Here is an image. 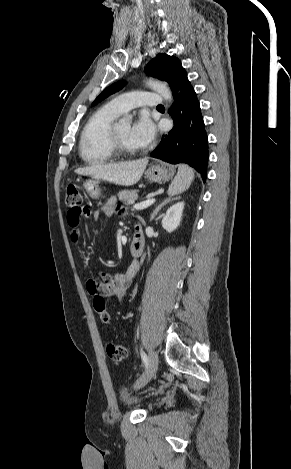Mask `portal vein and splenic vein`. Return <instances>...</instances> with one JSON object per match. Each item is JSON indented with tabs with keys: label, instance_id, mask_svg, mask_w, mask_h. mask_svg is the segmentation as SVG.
Masks as SVG:
<instances>
[{
	"label": "portal vein and splenic vein",
	"instance_id": "portal-vein-and-splenic-vein-1",
	"mask_svg": "<svg viewBox=\"0 0 291 469\" xmlns=\"http://www.w3.org/2000/svg\"><path fill=\"white\" fill-rule=\"evenodd\" d=\"M155 201H156L155 198L148 199L144 202L135 204L133 207L136 210H143V209L149 207L150 205H152Z\"/></svg>",
	"mask_w": 291,
	"mask_h": 469
}]
</instances>
